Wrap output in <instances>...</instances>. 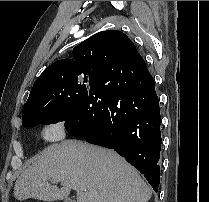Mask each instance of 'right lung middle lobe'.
<instances>
[{
	"mask_svg": "<svg viewBox=\"0 0 209 202\" xmlns=\"http://www.w3.org/2000/svg\"><path fill=\"white\" fill-rule=\"evenodd\" d=\"M81 75L48 79L33 95L30 109L22 113V118L28 121L24 127L67 122L75 117L97 82L96 77Z\"/></svg>",
	"mask_w": 209,
	"mask_h": 202,
	"instance_id": "dd1d6c3e",
	"label": "right lung middle lobe"
}]
</instances>
